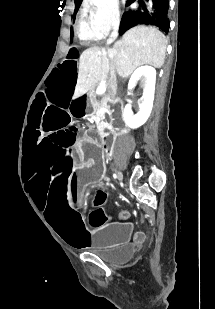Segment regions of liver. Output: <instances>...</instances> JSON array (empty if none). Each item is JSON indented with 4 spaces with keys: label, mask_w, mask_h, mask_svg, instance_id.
Masks as SVG:
<instances>
[{
    "label": "liver",
    "mask_w": 215,
    "mask_h": 309,
    "mask_svg": "<svg viewBox=\"0 0 215 309\" xmlns=\"http://www.w3.org/2000/svg\"><path fill=\"white\" fill-rule=\"evenodd\" d=\"M167 38L156 26H133L108 48L114 54V64L119 76H129L141 64H152L160 68L166 56ZM106 48H86L79 58L78 78L72 96L79 98L95 88L99 80H106L109 74V56Z\"/></svg>",
    "instance_id": "1"
}]
</instances>
